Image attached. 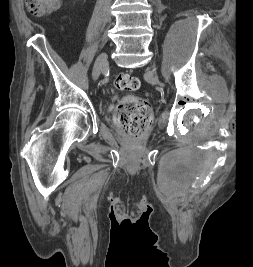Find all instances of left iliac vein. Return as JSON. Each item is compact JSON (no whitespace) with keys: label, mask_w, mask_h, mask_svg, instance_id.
<instances>
[{"label":"left iliac vein","mask_w":253,"mask_h":267,"mask_svg":"<svg viewBox=\"0 0 253 267\" xmlns=\"http://www.w3.org/2000/svg\"><path fill=\"white\" fill-rule=\"evenodd\" d=\"M152 84H155L156 83V79L155 78H152Z\"/></svg>","instance_id":"obj_1"}]
</instances>
